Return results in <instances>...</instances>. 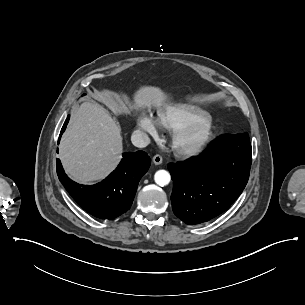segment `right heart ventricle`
Wrapping results in <instances>:
<instances>
[{
	"mask_svg": "<svg viewBox=\"0 0 305 305\" xmlns=\"http://www.w3.org/2000/svg\"><path fill=\"white\" fill-rule=\"evenodd\" d=\"M210 112L192 104H174L157 115L158 125L169 132H176L183 125L210 116Z\"/></svg>",
	"mask_w": 305,
	"mask_h": 305,
	"instance_id": "1",
	"label": "right heart ventricle"
}]
</instances>
